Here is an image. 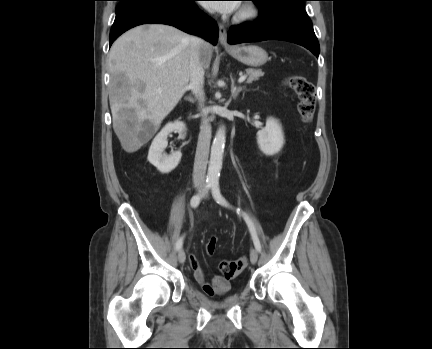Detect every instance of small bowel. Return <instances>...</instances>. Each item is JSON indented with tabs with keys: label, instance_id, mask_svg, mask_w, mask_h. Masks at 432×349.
I'll use <instances>...</instances> for the list:
<instances>
[{
	"label": "small bowel",
	"instance_id": "small-bowel-1",
	"mask_svg": "<svg viewBox=\"0 0 432 349\" xmlns=\"http://www.w3.org/2000/svg\"><path fill=\"white\" fill-rule=\"evenodd\" d=\"M189 262L194 272V277L202 288L208 293H217L228 288V280L222 276H215L211 282H207L204 277L203 270L194 255L189 256Z\"/></svg>",
	"mask_w": 432,
	"mask_h": 349
}]
</instances>
